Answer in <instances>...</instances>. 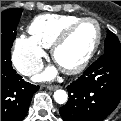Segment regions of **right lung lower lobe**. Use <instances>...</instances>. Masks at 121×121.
<instances>
[{
	"mask_svg": "<svg viewBox=\"0 0 121 121\" xmlns=\"http://www.w3.org/2000/svg\"><path fill=\"white\" fill-rule=\"evenodd\" d=\"M38 89L13 69L10 51L1 50V121H22Z\"/></svg>",
	"mask_w": 121,
	"mask_h": 121,
	"instance_id": "98d812e1",
	"label": "right lung lower lobe"
}]
</instances>
